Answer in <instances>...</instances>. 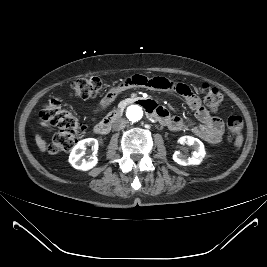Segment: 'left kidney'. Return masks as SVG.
<instances>
[{
  "label": "left kidney",
  "instance_id": "obj_1",
  "mask_svg": "<svg viewBox=\"0 0 267 267\" xmlns=\"http://www.w3.org/2000/svg\"><path fill=\"white\" fill-rule=\"evenodd\" d=\"M178 142L180 144H188L194 147V152L191 157H187L182 154L180 151H175L173 154V160L179 165L187 166V165H198L202 162L203 158L206 155L205 148L203 143L192 136H183Z\"/></svg>",
  "mask_w": 267,
  "mask_h": 267
}]
</instances>
